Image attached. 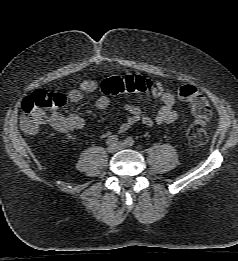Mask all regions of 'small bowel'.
Returning a JSON list of instances; mask_svg holds the SVG:
<instances>
[{
	"instance_id": "small-bowel-1",
	"label": "small bowel",
	"mask_w": 238,
	"mask_h": 261,
	"mask_svg": "<svg viewBox=\"0 0 238 261\" xmlns=\"http://www.w3.org/2000/svg\"><path fill=\"white\" fill-rule=\"evenodd\" d=\"M149 91L153 98L162 103L159 111L152 116L135 104H124V109L127 111L128 116L120 124V132L127 131L137 123H142L147 127H153L156 125L170 124L178 119L179 113L174 108L177 96L172 89L165 87L159 82H155L152 83ZM93 93H101L95 100V106L98 109H106L111 105L110 98L101 91V83L91 79L79 82L75 88L61 95L64 96L65 100L77 102L82 100L86 95ZM47 121L55 130L66 134L70 140H73L70 134L72 131L82 130L85 126V121L81 116L75 114L63 116L55 111L48 115Z\"/></svg>"
}]
</instances>
